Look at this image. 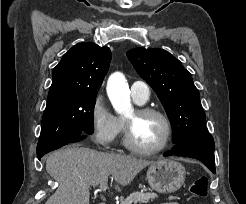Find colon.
I'll use <instances>...</instances> for the list:
<instances>
[{"label":"colon","instance_id":"5ec220e1","mask_svg":"<svg viewBox=\"0 0 246 204\" xmlns=\"http://www.w3.org/2000/svg\"><path fill=\"white\" fill-rule=\"evenodd\" d=\"M190 191L197 197H205L208 194V179L205 176L199 177L193 181Z\"/></svg>","mask_w":246,"mask_h":204}]
</instances>
